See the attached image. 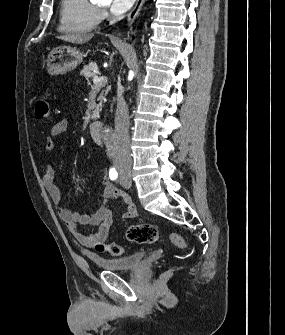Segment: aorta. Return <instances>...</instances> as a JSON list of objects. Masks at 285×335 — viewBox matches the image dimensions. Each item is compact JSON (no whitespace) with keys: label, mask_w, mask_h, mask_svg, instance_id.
Segmentation results:
<instances>
[{"label":"aorta","mask_w":285,"mask_h":335,"mask_svg":"<svg viewBox=\"0 0 285 335\" xmlns=\"http://www.w3.org/2000/svg\"><path fill=\"white\" fill-rule=\"evenodd\" d=\"M118 97H127L128 91L127 90H118L117 91ZM96 134H104L105 137H118L119 136V127H96ZM110 146L113 144L111 141L108 143Z\"/></svg>","instance_id":"1"}]
</instances>
